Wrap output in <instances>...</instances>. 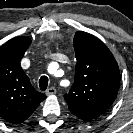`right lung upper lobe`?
<instances>
[{
	"label": "right lung upper lobe",
	"mask_w": 133,
	"mask_h": 133,
	"mask_svg": "<svg viewBox=\"0 0 133 133\" xmlns=\"http://www.w3.org/2000/svg\"><path fill=\"white\" fill-rule=\"evenodd\" d=\"M31 39L15 37L0 47V117L11 123L25 121L46 99L37 92L20 66Z\"/></svg>",
	"instance_id": "1"
}]
</instances>
